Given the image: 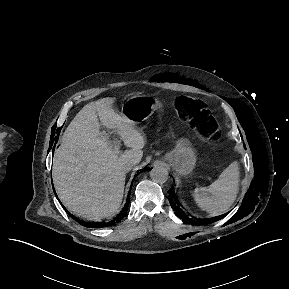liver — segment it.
I'll list each match as a JSON object with an SVG mask.
<instances>
[{"label":"liver","mask_w":289,"mask_h":289,"mask_svg":"<svg viewBox=\"0 0 289 289\" xmlns=\"http://www.w3.org/2000/svg\"><path fill=\"white\" fill-rule=\"evenodd\" d=\"M112 98L85 105L66 128L55 151L52 178L62 204L72 213L98 221L115 215L123 199L126 163L138 164L145 146L135 123L117 113ZM102 125L116 130L125 150L119 155L104 138Z\"/></svg>","instance_id":"liver-1"}]
</instances>
